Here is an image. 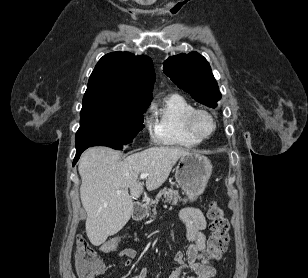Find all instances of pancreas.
<instances>
[{"label":"pancreas","mask_w":308,"mask_h":278,"mask_svg":"<svg viewBox=\"0 0 308 278\" xmlns=\"http://www.w3.org/2000/svg\"><path fill=\"white\" fill-rule=\"evenodd\" d=\"M162 197L166 199V202H172L174 205H177L178 201H182L180 194L177 190L164 187L162 190L159 191L155 200H152L146 204L147 207L150 208V206H152L155 208L159 202V199H161ZM153 212L155 213L156 210L153 209Z\"/></svg>","instance_id":"1"}]
</instances>
